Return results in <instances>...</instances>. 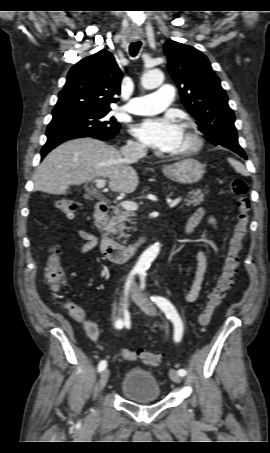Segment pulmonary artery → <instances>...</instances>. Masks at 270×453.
<instances>
[{
    "label": "pulmonary artery",
    "instance_id": "pulmonary-artery-1",
    "mask_svg": "<svg viewBox=\"0 0 270 453\" xmlns=\"http://www.w3.org/2000/svg\"><path fill=\"white\" fill-rule=\"evenodd\" d=\"M174 98V89L170 85L162 86L157 92L134 97L122 106V109L137 115H151L162 112Z\"/></svg>",
    "mask_w": 270,
    "mask_h": 453
}]
</instances>
